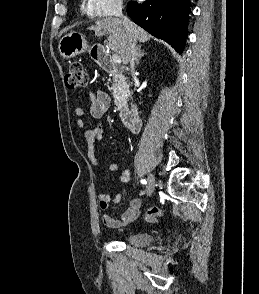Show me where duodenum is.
Here are the masks:
<instances>
[{"label": "duodenum", "instance_id": "obj_1", "mask_svg": "<svg viewBox=\"0 0 259 294\" xmlns=\"http://www.w3.org/2000/svg\"><path fill=\"white\" fill-rule=\"evenodd\" d=\"M94 58L105 71L118 72L117 66L105 52L100 51L96 53ZM120 116L122 122L125 123L132 131H138L141 128L142 120L135 106L122 109Z\"/></svg>", "mask_w": 259, "mask_h": 294}]
</instances>
